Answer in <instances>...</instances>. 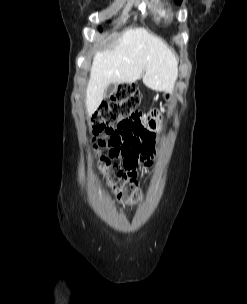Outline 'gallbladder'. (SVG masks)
Instances as JSON below:
<instances>
[{"mask_svg":"<svg viewBox=\"0 0 247 304\" xmlns=\"http://www.w3.org/2000/svg\"><path fill=\"white\" fill-rule=\"evenodd\" d=\"M115 89H116L115 83H110L105 89V92H104L105 96L108 97V96L112 95L115 92Z\"/></svg>","mask_w":247,"mask_h":304,"instance_id":"gallbladder-1","label":"gallbladder"}]
</instances>
